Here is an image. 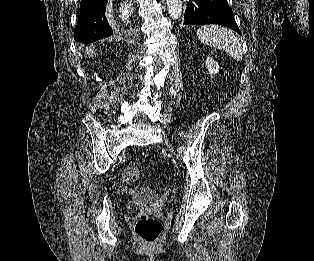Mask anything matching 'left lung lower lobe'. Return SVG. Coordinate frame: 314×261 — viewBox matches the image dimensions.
Instances as JSON below:
<instances>
[{
    "instance_id": "0a47b994",
    "label": "left lung lower lobe",
    "mask_w": 314,
    "mask_h": 261,
    "mask_svg": "<svg viewBox=\"0 0 314 261\" xmlns=\"http://www.w3.org/2000/svg\"><path fill=\"white\" fill-rule=\"evenodd\" d=\"M184 24H219L241 35L226 0H188Z\"/></svg>"
}]
</instances>
